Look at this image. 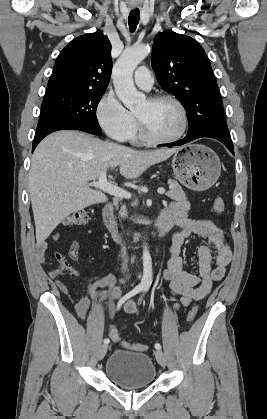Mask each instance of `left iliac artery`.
Instances as JSON below:
<instances>
[{
  "label": "left iliac artery",
  "mask_w": 267,
  "mask_h": 419,
  "mask_svg": "<svg viewBox=\"0 0 267 419\" xmlns=\"http://www.w3.org/2000/svg\"><path fill=\"white\" fill-rule=\"evenodd\" d=\"M144 291H147V289H144ZM140 302H141V298L139 299V304H140ZM155 348H156L157 350H160V349H161V345H160L159 343H156V344H155Z\"/></svg>",
  "instance_id": "left-iliac-artery-1"
}]
</instances>
